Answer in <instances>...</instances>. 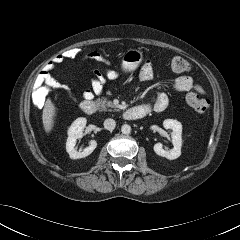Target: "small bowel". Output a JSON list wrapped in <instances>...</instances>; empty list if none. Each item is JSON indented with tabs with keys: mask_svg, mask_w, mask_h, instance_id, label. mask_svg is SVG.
<instances>
[{
	"mask_svg": "<svg viewBox=\"0 0 240 240\" xmlns=\"http://www.w3.org/2000/svg\"><path fill=\"white\" fill-rule=\"evenodd\" d=\"M84 59L99 62L106 66V69L103 72L99 70L93 71L91 89H86L83 92V97L85 99L91 100L94 95H101L103 93L104 86L107 80H116L120 77V75L117 71L110 68V61L97 51H92L88 53ZM61 63H63V61L59 58V55H56L54 58L48 61L35 77L33 88L36 90L43 85H47L52 88L60 89L65 92L71 100L74 101L75 97L72 94L70 88L64 84H61L51 74L55 66ZM152 77V63L147 60L141 67L139 78L141 81H149L152 79ZM191 90L197 92L200 95L204 94V90L202 89V87L197 85L194 82L193 78L188 75H182L178 77L173 85V91L176 93H183ZM168 104L169 98L167 94L164 92H158L154 95L151 101L142 104L140 107L144 108L147 113L151 111L162 112L167 108Z\"/></svg>",
	"mask_w": 240,
	"mask_h": 240,
	"instance_id": "1",
	"label": "small bowel"
}]
</instances>
